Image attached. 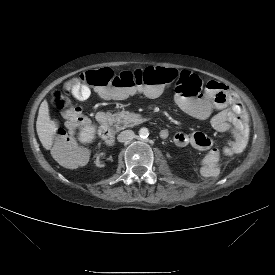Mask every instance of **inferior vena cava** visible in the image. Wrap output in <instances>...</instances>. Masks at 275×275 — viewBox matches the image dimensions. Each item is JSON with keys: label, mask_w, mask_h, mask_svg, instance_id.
Here are the masks:
<instances>
[{"label": "inferior vena cava", "mask_w": 275, "mask_h": 275, "mask_svg": "<svg viewBox=\"0 0 275 275\" xmlns=\"http://www.w3.org/2000/svg\"><path fill=\"white\" fill-rule=\"evenodd\" d=\"M133 137H134V132L132 130H125L118 135L117 139L119 142H126L128 140L133 139Z\"/></svg>", "instance_id": "602c4592"}]
</instances>
